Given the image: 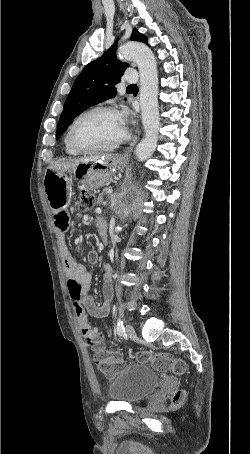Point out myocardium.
I'll list each match as a JSON object with an SVG mask.
<instances>
[{
    "mask_svg": "<svg viewBox=\"0 0 250 454\" xmlns=\"http://www.w3.org/2000/svg\"><path fill=\"white\" fill-rule=\"evenodd\" d=\"M100 111L112 112V113H116L119 115L118 111L114 107L108 106V105H98V106L92 107V108L84 111L83 113H81L72 123V125L69 129V133H68L69 143H70L71 147L73 149H75L77 152H79V153H96V152L110 151V150H113V149L119 147L121 144H123L129 138V135H130L129 131H128L127 127L123 124V126H124L123 134L118 139H116L114 142H112L108 145L99 146V147H83V146L79 145L74 138V133H75V129H76L77 125L85 117H87L95 112H100Z\"/></svg>",
    "mask_w": 250,
    "mask_h": 454,
    "instance_id": "obj_1",
    "label": "myocardium"
}]
</instances>
